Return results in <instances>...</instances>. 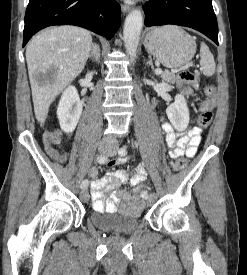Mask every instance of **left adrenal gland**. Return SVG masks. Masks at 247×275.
Here are the masks:
<instances>
[{"label": "left adrenal gland", "instance_id": "obj_1", "mask_svg": "<svg viewBox=\"0 0 247 275\" xmlns=\"http://www.w3.org/2000/svg\"><path fill=\"white\" fill-rule=\"evenodd\" d=\"M147 64L151 66L152 71H155L151 56H149V61H147Z\"/></svg>", "mask_w": 247, "mask_h": 275}]
</instances>
